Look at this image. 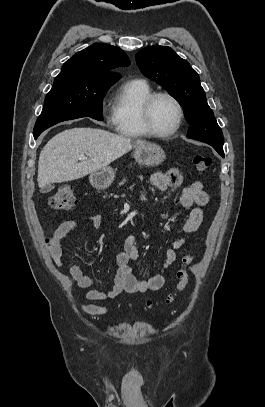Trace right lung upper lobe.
Here are the masks:
<instances>
[{"label": "right lung upper lobe", "mask_w": 265, "mask_h": 407, "mask_svg": "<svg viewBox=\"0 0 265 407\" xmlns=\"http://www.w3.org/2000/svg\"><path fill=\"white\" fill-rule=\"evenodd\" d=\"M128 65L130 60L123 50L109 44L95 43L66 61L58 76L70 77L79 82L115 83L121 76L110 70Z\"/></svg>", "instance_id": "1"}]
</instances>
